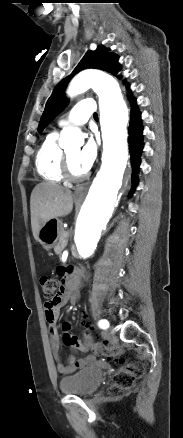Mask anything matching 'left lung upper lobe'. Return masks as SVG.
I'll use <instances>...</instances> for the list:
<instances>
[{
  "label": "left lung upper lobe",
  "instance_id": "left-lung-upper-lobe-1",
  "mask_svg": "<svg viewBox=\"0 0 183 438\" xmlns=\"http://www.w3.org/2000/svg\"><path fill=\"white\" fill-rule=\"evenodd\" d=\"M118 58L115 54L109 53L104 46H98L95 51H88L80 63L77 65L73 73L61 80L54 88L50 98L48 99L45 110L42 114L38 131L43 129L59 114L63 111L68 103L64 95L65 87L70 79L78 72L87 68H96L107 71L113 75L118 71Z\"/></svg>",
  "mask_w": 183,
  "mask_h": 438
}]
</instances>
